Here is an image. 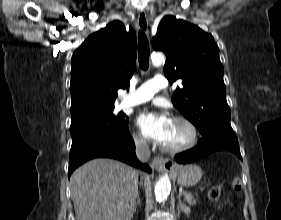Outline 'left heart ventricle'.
Returning <instances> with one entry per match:
<instances>
[{"label":"left heart ventricle","instance_id":"obj_1","mask_svg":"<svg viewBox=\"0 0 281 220\" xmlns=\"http://www.w3.org/2000/svg\"><path fill=\"white\" fill-rule=\"evenodd\" d=\"M188 138H189L188 128L182 123L172 121V124L168 132V136L166 140L163 142V145L169 147L179 146L185 143L188 140Z\"/></svg>","mask_w":281,"mask_h":220}]
</instances>
